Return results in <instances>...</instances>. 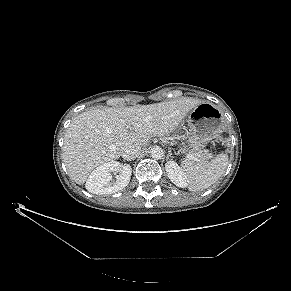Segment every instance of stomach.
Instances as JSON below:
<instances>
[{"label":"stomach","instance_id":"obj_1","mask_svg":"<svg viewBox=\"0 0 291 291\" xmlns=\"http://www.w3.org/2000/svg\"><path fill=\"white\" fill-rule=\"evenodd\" d=\"M187 124L190 147L202 149L223 132L224 117L215 105L203 102L189 112Z\"/></svg>","mask_w":291,"mask_h":291}]
</instances>
